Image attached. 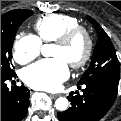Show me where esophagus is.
<instances>
[{
	"mask_svg": "<svg viewBox=\"0 0 121 121\" xmlns=\"http://www.w3.org/2000/svg\"><path fill=\"white\" fill-rule=\"evenodd\" d=\"M58 97V95H56V94H51L50 95V98H52V99H56Z\"/></svg>",
	"mask_w": 121,
	"mask_h": 121,
	"instance_id": "obj_1",
	"label": "esophagus"
}]
</instances>
